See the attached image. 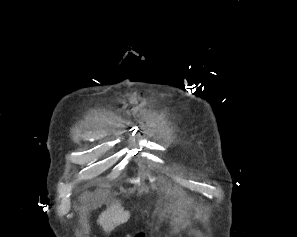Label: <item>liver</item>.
<instances>
[{
  "label": "liver",
  "mask_w": 297,
  "mask_h": 237,
  "mask_svg": "<svg viewBox=\"0 0 297 237\" xmlns=\"http://www.w3.org/2000/svg\"><path fill=\"white\" fill-rule=\"evenodd\" d=\"M129 218L130 213L124 210L120 202L116 201L101 213L97 222L109 234L116 226L126 223Z\"/></svg>",
  "instance_id": "1"
}]
</instances>
